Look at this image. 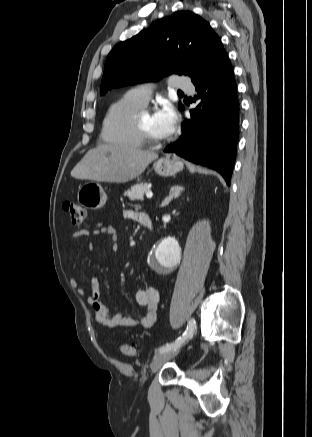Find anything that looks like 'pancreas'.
<instances>
[{
	"mask_svg": "<svg viewBox=\"0 0 312 437\" xmlns=\"http://www.w3.org/2000/svg\"><path fill=\"white\" fill-rule=\"evenodd\" d=\"M148 191L147 183L136 184L131 187V190L124 192V196H127L130 200L143 201L144 194Z\"/></svg>",
	"mask_w": 312,
	"mask_h": 437,
	"instance_id": "cf45deb5",
	"label": "pancreas"
}]
</instances>
